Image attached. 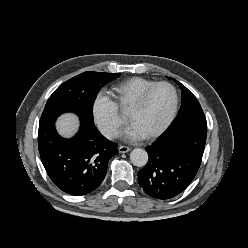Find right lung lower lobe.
Wrapping results in <instances>:
<instances>
[{
  "mask_svg": "<svg viewBox=\"0 0 248 248\" xmlns=\"http://www.w3.org/2000/svg\"><path fill=\"white\" fill-rule=\"evenodd\" d=\"M79 132L62 138L55 120L39 126L38 148L44 168L62 191L81 196L95 190L104 179L109 159L118 153L117 144L106 139L94 123L80 118Z\"/></svg>",
  "mask_w": 248,
  "mask_h": 248,
  "instance_id": "1",
  "label": "right lung lower lobe"
}]
</instances>
